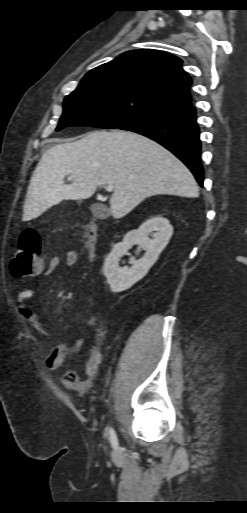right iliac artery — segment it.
<instances>
[{"label":"right iliac artery","mask_w":247,"mask_h":513,"mask_svg":"<svg viewBox=\"0 0 247 513\" xmlns=\"http://www.w3.org/2000/svg\"><path fill=\"white\" fill-rule=\"evenodd\" d=\"M107 437L112 445L113 448H117L118 446V440L115 431L113 428H109L107 431Z\"/></svg>","instance_id":"82829eb1"}]
</instances>
